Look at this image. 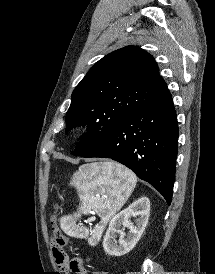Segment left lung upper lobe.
<instances>
[{"mask_svg": "<svg viewBox=\"0 0 215 274\" xmlns=\"http://www.w3.org/2000/svg\"><path fill=\"white\" fill-rule=\"evenodd\" d=\"M167 89L157 63L145 50L127 46L106 55L74 89L66 113V131L87 125L74 155L100 143L124 118Z\"/></svg>", "mask_w": 215, "mask_h": 274, "instance_id": "5c2ea615", "label": "left lung upper lobe"}]
</instances>
